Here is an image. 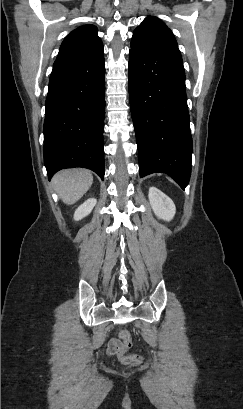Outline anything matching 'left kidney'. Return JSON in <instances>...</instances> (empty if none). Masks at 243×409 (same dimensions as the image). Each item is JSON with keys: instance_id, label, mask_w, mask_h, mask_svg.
Masks as SVG:
<instances>
[{"instance_id": "1", "label": "left kidney", "mask_w": 243, "mask_h": 409, "mask_svg": "<svg viewBox=\"0 0 243 409\" xmlns=\"http://www.w3.org/2000/svg\"><path fill=\"white\" fill-rule=\"evenodd\" d=\"M148 197L151 207L158 218L166 221L173 219L176 208L173 201L167 195L155 187H150Z\"/></svg>"}]
</instances>
